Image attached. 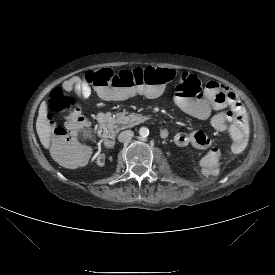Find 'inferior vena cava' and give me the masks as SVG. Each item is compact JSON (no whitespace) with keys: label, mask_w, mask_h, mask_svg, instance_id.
<instances>
[{"label":"inferior vena cava","mask_w":275,"mask_h":275,"mask_svg":"<svg viewBox=\"0 0 275 275\" xmlns=\"http://www.w3.org/2000/svg\"><path fill=\"white\" fill-rule=\"evenodd\" d=\"M133 136L134 132L132 130H125L118 135V140L120 142H126L128 140H131Z\"/></svg>","instance_id":"602c4592"}]
</instances>
